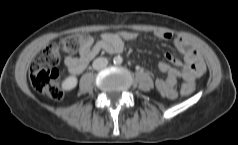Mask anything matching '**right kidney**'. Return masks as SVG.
Here are the masks:
<instances>
[{
  "label": "right kidney",
  "instance_id": "ca27d5eb",
  "mask_svg": "<svg viewBox=\"0 0 238 145\" xmlns=\"http://www.w3.org/2000/svg\"><path fill=\"white\" fill-rule=\"evenodd\" d=\"M77 82V77L75 75H70L62 82L61 87L64 91H70L77 86Z\"/></svg>",
  "mask_w": 238,
  "mask_h": 145
}]
</instances>
